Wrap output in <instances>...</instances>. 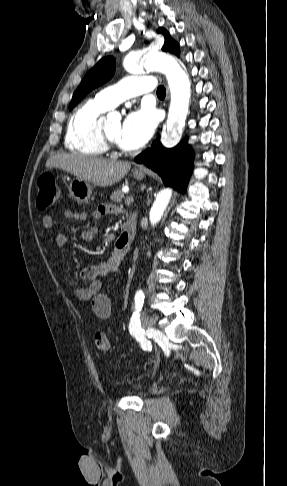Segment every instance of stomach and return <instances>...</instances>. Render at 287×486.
Segmentation results:
<instances>
[{"label": "stomach", "instance_id": "0dacf381", "mask_svg": "<svg viewBox=\"0 0 287 486\" xmlns=\"http://www.w3.org/2000/svg\"><path fill=\"white\" fill-rule=\"evenodd\" d=\"M133 176L137 180H142L145 178V174L138 171H134ZM92 190L93 187L90 182L78 178L72 180L69 185V192L71 196L79 203H88L92 195Z\"/></svg>", "mask_w": 287, "mask_h": 486}]
</instances>
